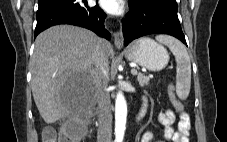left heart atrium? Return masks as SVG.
<instances>
[{"label":"left heart atrium","instance_id":"39dd6f15","mask_svg":"<svg viewBox=\"0 0 227 142\" xmlns=\"http://www.w3.org/2000/svg\"><path fill=\"white\" fill-rule=\"evenodd\" d=\"M100 6L111 14H117L121 11L122 0H99Z\"/></svg>","mask_w":227,"mask_h":142}]
</instances>
